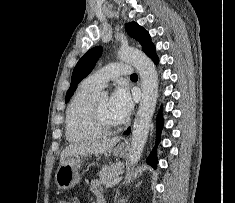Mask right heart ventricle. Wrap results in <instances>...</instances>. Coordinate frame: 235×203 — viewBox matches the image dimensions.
<instances>
[{"label": "right heart ventricle", "mask_w": 235, "mask_h": 203, "mask_svg": "<svg viewBox=\"0 0 235 203\" xmlns=\"http://www.w3.org/2000/svg\"><path fill=\"white\" fill-rule=\"evenodd\" d=\"M98 90L84 81L72 97L65 120V133L69 142H87L101 137L93 125L91 116L92 102Z\"/></svg>", "instance_id": "obj_1"}]
</instances>
